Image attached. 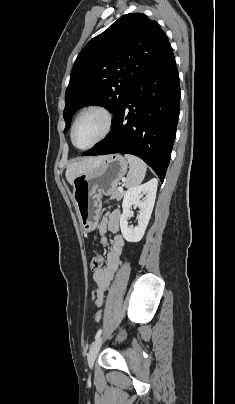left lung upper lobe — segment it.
Returning a JSON list of instances; mask_svg holds the SVG:
<instances>
[{"mask_svg": "<svg viewBox=\"0 0 235 404\" xmlns=\"http://www.w3.org/2000/svg\"><path fill=\"white\" fill-rule=\"evenodd\" d=\"M168 45L159 24L142 13L122 16L90 40L77 56L66 89L64 132L72 113L87 104H100L115 116L136 81Z\"/></svg>", "mask_w": 235, "mask_h": 404, "instance_id": "left-lung-upper-lobe-1", "label": "left lung upper lobe"}]
</instances>
